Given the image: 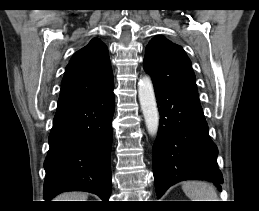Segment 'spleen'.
Masks as SVG:
<instances>
[{"mask_svg":"<svg viewBox=\"0 0 259 211\" xmlns=\"http://www.w3.org/2000/svg\"><path fill=\"white\" fill-rule=\"evenodd\" d=\"M182 189L190 201H219L213 185L205 181H185Z\"/></svg>","mask_w":259,"mask_h":211,"instance_id":"obj_1","label":"spleen"}]
</instances>
